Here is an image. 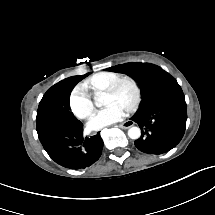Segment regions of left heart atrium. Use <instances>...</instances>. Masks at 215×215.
Listing matches in <instances>:
<instances>
[{"label": "left heart atrium", "mask_w": 215, "mask_h": 215, "mask_svg": "<svg viewBox=\"0 0 215 215\" xmlns=\"http://www.w3.org/2000/svg\"><path fill=\"white\" fill-rule=\"evenodd\" d=\"M123 114V108L121 106L111 107L98 113L97 117L93 118L91 125L93 129L100 131L104 127L120 122Z\"/></svg>", "instance_id": "1"}]
</instances>
